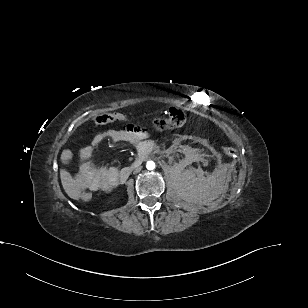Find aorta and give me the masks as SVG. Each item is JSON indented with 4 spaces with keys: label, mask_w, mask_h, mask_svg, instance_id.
<instances>
[{
    "label": "aorta",
    "mask_w": 308,
    "mask_h": 308,
    "mask_svg": "<svg viewBox=\"0 0 308 308\" xmlns=\"http://www.w3.org/2000/svg\"><path fill=\"white\" fill-rule=\"evenodd\" d=\"M146 167L148 170H153L155 168V163L153 161H148Z\"/></svg>",
    "instance_id": "1"
}]
</instances>
